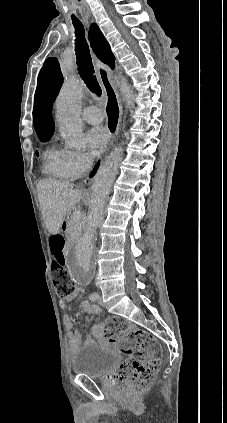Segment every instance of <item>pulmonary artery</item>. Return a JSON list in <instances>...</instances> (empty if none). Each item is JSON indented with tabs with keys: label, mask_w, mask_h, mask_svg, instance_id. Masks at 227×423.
Listing matches in <instances>:
<instances>
[{
	"label": "pulmonary artery",
	"mask_w": 227,
	"mask_h": 423,
	"mask_svg": "<svg viewBox=\"0 0 227 423\" xmlns=\"http://www.w3.org/2000/svg\"><path fill=\"white\" fill-rule=\"evenodd\" d=\"M82 118L90 125H99L103 122V113L98 107L90 106L83 110Z\"/></svg>",
	"instance_id": "obj_1"
}]
</instances>
